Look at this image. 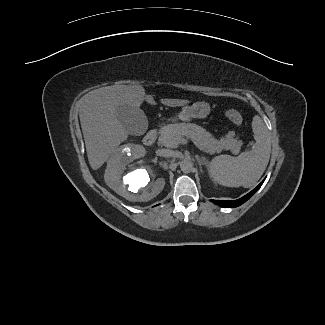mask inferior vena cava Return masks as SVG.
<instances>
[{
	"label": "inferior vena cava",
	"instance_id": "1",
	"mask_svg": "<svg viewBox=\"0 0 325 325\" xmlns=\"http://www.w3.org/2000/svg\"><path fill=\"white\" fill-rule=\"evenodd\" d=\"M156 153L158 156L162 157H172L175 154V152L170 149H159Z\"/></svg>",
	"mask_w": 325,
	"mask_h": 325
}]
</instances>
